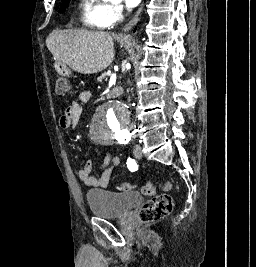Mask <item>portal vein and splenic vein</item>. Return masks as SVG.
Masks as SVG:
<instances>
[{
    "label": "portal vein and splenic vein",
    "mask_w": 256,
    "mask_h": 267,
    "mask_svg": "<svg viewBox=\"0 0 256 267\" xmlns=\"http://www.w3.org/2000/svg\"><path fill=\"white\" fill-rule=\"evenodd\" d=\"M105 77L111 76V70L107 69L106 72L104 73Z\"/></svg>",
    "instance_id": "portal-vein-and-splenic-vein-1"
}]
</instances>
